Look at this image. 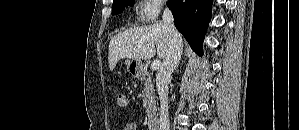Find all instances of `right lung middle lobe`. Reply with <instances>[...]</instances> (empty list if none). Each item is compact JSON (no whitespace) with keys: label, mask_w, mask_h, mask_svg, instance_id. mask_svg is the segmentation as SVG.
I'll use <instances>...</instances> for the list:
<instances>
[{"label":"right lung middle lobe","mask_w":299,"mask_h":130,"mask_svg":"<svg viewBox=\"0 0 299 130\" xmlns=\"http://www.w3.org/2000/svg\"><path fill=\"white\" fill-rule=\"evenodd\" d=\"M135 0H116L112 5V15L121 13L125 7L133 6Z\"/></svg>","instance_id":"obj_1"}]
</instances>
